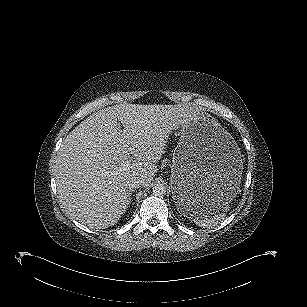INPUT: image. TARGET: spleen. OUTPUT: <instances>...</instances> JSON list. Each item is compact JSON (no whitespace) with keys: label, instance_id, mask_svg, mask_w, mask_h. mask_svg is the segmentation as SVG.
<instances>
[{"label":"spleen","instance_id":"3e777b00","mask_svg":"<svg viewBox=\"0 0 307 307\" xmlns=\"http://www.w3.org/2000/svg\"><path fill=\"white\" fill-rule=\"evenodd\" d=\"M227 210H229L228 203L222 207L221 211H223V213L217 212L213 214L209 212H204L202 209H199L195 212L192 219L199 227L211 228L213 226H217L225 219L226 214L224 212H226Z\"/></svg>","mask_w":307,"mask_h":307}]
</instances>
